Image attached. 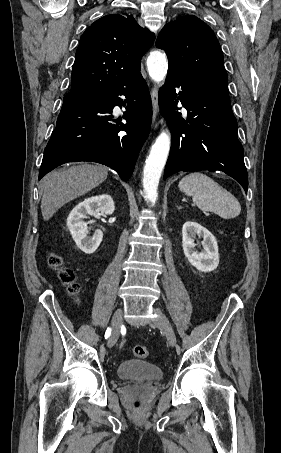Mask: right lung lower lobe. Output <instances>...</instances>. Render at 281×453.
I'll return each mask as SVG.
<instances>
[{
	"label": "right lung lower lobe",
	"mask_w": 281,
	"mask_h": 453,
	"mask_svg": "<svg viewBox=\"0 0 281 453\" xmlns=\"http://www.w3.org/2000/svg\"><path fill=\"white\" fill-rule=\"evenodd\" d=\"M116 105L125 106L126 124L113 119ZM151 117L150 93L140 68L113 87L70 91L45 148L39 179L61 164L92 161L109 166L127 181L148 137Z\"/></svg>",
	"instance_id": "1"
}]
</instances>
